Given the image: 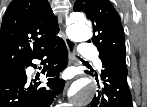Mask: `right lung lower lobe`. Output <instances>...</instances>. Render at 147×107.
Here are the masks:
<instances>
[{"label": "right lung lower lobe", "instance_id": "1", "mask_svg": "<svg viewBox=\"0 0 147 107\" xmlns=\"http://www.w3.org/2000/svg\"><path fill=\"white\" fill-rule=\"evenodd\" d=\"M33 59L41 60L47 87H39L41 82L27 78L25 68H36ZM67 63L65 42L57 37L21 69L0 79V107H50L56 95L64 89L65 82L59 78V73L67 67Z\"/></svg>", "mask_w": 147, "mask_h": 107}]
</instances>
